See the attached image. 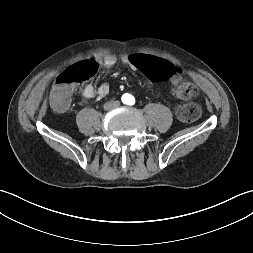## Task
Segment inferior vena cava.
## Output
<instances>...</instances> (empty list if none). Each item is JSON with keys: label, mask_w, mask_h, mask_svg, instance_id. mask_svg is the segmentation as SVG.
<instances>
[{"label": "inferior vena cava", "mask_w": 253, "mask_h": 253, "mask_svg": "<svg viewBox=\"0 0 253 253\" xmlns=\"http://www.w3.org/2000/svg\"><path fill=\"white\" fill-rule=\"evenodd\" d=\"M109 105L110 106H108V107H116V106L119 105V102L118 101H112V102L109 103ZM105 107L107 108V104L105 105Z\"/></svg>", "instance_id": "1"}]
</instances>
